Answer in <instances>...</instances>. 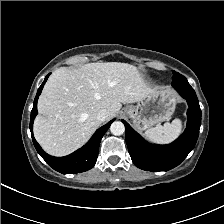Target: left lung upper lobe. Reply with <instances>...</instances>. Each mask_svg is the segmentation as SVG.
<instances>
[{
	"mask_svg": "<svg viewBox=\"0 0 224 224\" xmlns=\"http://www.w3.org/2000/svg\"><path fill=\"white\" fill-rule=\"evenodd\" d=\"M183 76L175 71H173V77H172V80H177V79H180L182 78Z\"/></svg>",
	"mask_w": 224,
	"mask_h": 224,
	"instance_id": "1",
	"label": "left lung upper lobe"
}]
</instances>
